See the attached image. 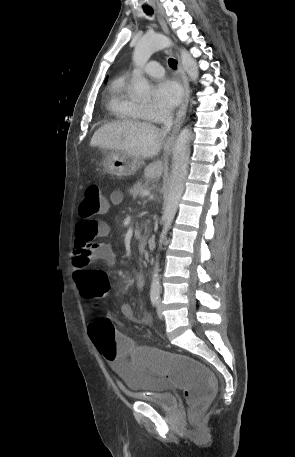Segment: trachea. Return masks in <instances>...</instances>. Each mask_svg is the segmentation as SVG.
I'll list each match as a JSON object with an SVG mask.
<instances>
[{
	"label": "trachea",
	"instance_id": "trachea-1",
	"mask_svg": "<svg viewBox=\"0 0 295 457\" xmlns=\"http://www.w3.org/2000/svg\"><path fill=\"white\" fill-rule=\"evenodd\" d=\"M144 11H145V13H146L147 15H151V14H152V10L145 9ZM168 62H169V66H170L171 68L176 69V67H177V61H176L175 59L170 58V59L168 60Z\"/></svg>",
	"mask_w": 295,
	"mask_h": 457
}]
</instances>
